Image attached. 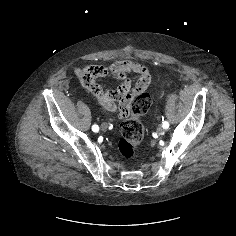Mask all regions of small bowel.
I'll list each match as a JSON object with an SVG mask.
<instances>
[{"instance_id":"c3829d8e","label":"small bowel","mask_w":236,"mask_h":236,"mask_svg":"<svg viewBox=\"0 0 236 236\" xmlns=\"http://www.w3.org/2000/svg\"><path fill=\"white\" fill-rule=\"evenodd\" d=\"M81 85L95 94L103 107L116 116L128 113L129 106L142 94L150 84V72L140 63L124 59L108 66H88L78 71ZM137 75V78H136ZM113 77L122 83L117 89L104 92L97 78Z\"/></svg>"}]
</instances>
